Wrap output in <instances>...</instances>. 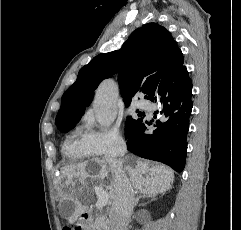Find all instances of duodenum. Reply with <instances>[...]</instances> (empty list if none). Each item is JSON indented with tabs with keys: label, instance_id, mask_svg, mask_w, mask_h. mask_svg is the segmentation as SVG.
<instances>
[{
	"label": "duodenum",
	"instance_id": "1",
	"mask_svg": "<svg viewBox=\"0 0 241 230\" xmlns=\"http://www.w3.org/2000/svg\"><path fill=\"white\" fill-rule=\"evenodd\" d=\"M89 220H90V216L87 213L82 214V216H81L82 224H86L87 222H89Z\"/></svg>",
	"mask_w": 241,
	"mask_h": 230
}]
</instances>
